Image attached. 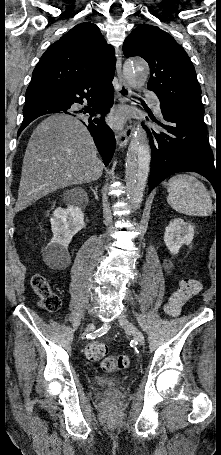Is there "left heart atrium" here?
Masks as SVG:
<instances>
[{
	"mask_svg": "<svg viewBox=\"0 0 221 455\" xmlns=\"http://www.w3.org/2000/svg\"><path fill=\"white\" fill-rule=\"evenodd\" d=\"M123 119L124 115L121 111L114 112L110 117L111 123L116 126H119L123 122Z\"/></svg>",
	"mask_w": 221,
	"mask_h": 455,
	"instance_id": "obj_1",
	"label": "left heart atrium"
}]
</instances>
